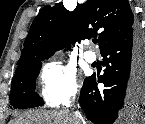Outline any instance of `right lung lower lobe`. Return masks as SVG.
<instances>
[{"mask_svg":"<svg viewBox=\"0 0 145 124\" xmlns=\"http://www.w3.org/2000/svg\"><path fill=\"white\" fill-rule=\"evenodd\" d=\"M104 74L84 80L80 106L96 124H112L138 117L145 109V35L137 25L100 48ZM97 82L105 88L99 90Z\"/></svg>","mask_w":145,"mask_h":124,"instance_id":"1","label":"right lung lower lobe"}]
</instances>
